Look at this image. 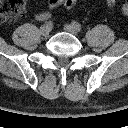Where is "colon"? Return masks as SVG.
<instances>
[{
  "mask_svg": "<svg viewBox=\"0 0 128 128\" xmlns=\"http://www.w3.org/2000/svg\"><path fill=\"white\" fill-rule=\"evenodd\" d=\"M107 6L112 7L116 0H102ZM77 0H65L64 6L72 9ZM25 12V0H0V21L13 22ZM122 12L128 16V1L124 2Z\"/></svg>",
  "mask_w": 128,
  "mask_h": 128,
  "instance_id": "colon-1",
  "label": "colon"
}]
</instances>
